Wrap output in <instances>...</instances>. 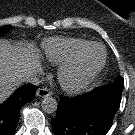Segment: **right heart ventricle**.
Instances as JSON below:
<instances>
[{
    "label": "right heart ventricle",
    "instance_id": "right-heart-ventricle-1",
    "mask_svg": "<svg viewBox=\"0 0 135 135\" xmlns=\"http://www.w3.org/2000/svg\"><path fill=\"white\" fill-rule=\"evenodd\" d=\"M90 43L92 42L80 38H48L42 44V54L53 64H63L76 57Z\"/></svg>",
    "mask_w": 135,
    "mask_h": 135
}]
</instances>
